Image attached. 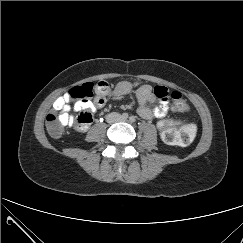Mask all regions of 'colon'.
<instances>
[{
    "mask_svg": "<svg viewBox=\"0 0 243 243\" xmlns=\"http://www.w3.org/2000/svg\"><path fill=\"white\" fill-rule=\"evenodd\" d=\"M111 89L107 81H99L96 84L84 83L75 86L68 91L70 99L78 101H86L95 98L97 95H106ZM154 94L159 100L172 99V109L175 113L184 114L189 111V104L186 99L176 91L169 92L164 86H156ZM92 122V113L90 111L81 112L77 119V128L79 130L90 125ZM46 127L49 134L53 137H59L63 132V123L55 110H51L46 117ZM161 138L167 144L172 145H188L196 135V126L190 121L177 123L171 120H162L158 123Z\"/></svg>",
    "mask_w": 243,
    "mask_h": 243,
    "instance_id": "colon-1",
    "label": "colon"
}]
</instances>
